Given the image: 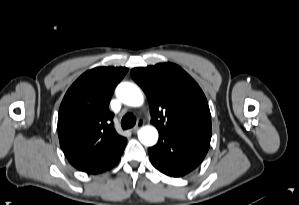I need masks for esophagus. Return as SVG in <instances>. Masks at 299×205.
<instances>
[{
  "instance_id": "34e87169",
  "label": "esophagus",
  "mask_w": 299,
  "mask_h": 205,
  "mask_svg": "<svg viewBox=\"0 0 299 205\" xmlns=\"http://www.w3.org/2000/svg\"><path fill=\"white\" fill-rule=\"evenodd\" d=\"M143 126V122L141 120L138 121L137 125L131 129L133 133L137 132Z\"/></svg>"
}]
</instances>
